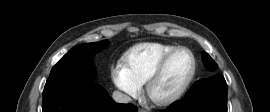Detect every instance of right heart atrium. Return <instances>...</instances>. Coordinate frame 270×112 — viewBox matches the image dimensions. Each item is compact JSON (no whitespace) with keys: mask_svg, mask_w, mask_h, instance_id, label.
I'll list each match as a JSON object with an SVG mask.
<instances>
[{"mask_svg":"<svg viewBox=\"0 0 270 112\" xmlns=\"http://www.w3.org/2000/svg\"><path fill=\"white\" fill-rule=\"evenodd\" d=\"M111 79L113 84L127 96L136 97L141 92V85L133 80L126 68L121 64H116L113 67Z\"/></svg>","mask_w":270,"mask_h":112,"instance_id":"1","label":"right heart atrium"}]
</instances>
